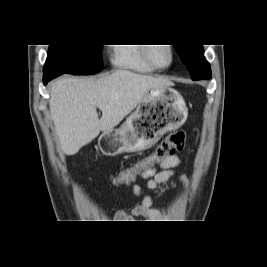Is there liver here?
Masks as SVG:
<instances>
[{
    "label": "liver",
    "instance_id": "liver-1",
    "mask_svg": "<svg viewBox=\"0 0 267 267\" xmlns=\"http://www.w3.org/2000/svg\"><path fill=\"white\" fill-rule=\"evenodd\" d=\"M167 79L119 70L99 79L64 77L52 83L50 113L66 155L76 154L113 130L152 89L172 86ZM97 108L102 111L99 119Z\"/></svg>",
    "mask_w": 267,
    "mask_h": 267
}]
</instances>
